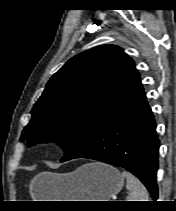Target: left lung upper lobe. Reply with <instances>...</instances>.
<instances>
[{
	"instance_id": "obj_1",
	"label": "left lung upper lobe",
	"mask_w": 176,
	"mask_h": 211,
	"mask_svg": "<svg viewBox=\"0 0 176 211\" xmlns=\"http://www.w3.org/2000/svg\"><path fill=\"white\" fill-rule=\"evenodd\" d=\"M134 61L115 45H101L71 58L48 81L21 140L57 141L72 159L117 110L143 93Z\"/></svg>"
}]
</instances>
